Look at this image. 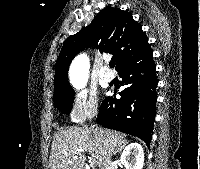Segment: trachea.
Here are the masks:
<instances>
[{
	"mask_svg": "<svg viewBox=\"0 0 200 169\" xmlns=\"http://www.w3.org/2000/svg\"><path fill=\"white\" fill-rule=\"evenodd\" d=\"M109 66H110L111 68H114V67H115V62H114V61H111V62L109 63Z\"/></svg>",
	"mask_w": 200,
	"mask_h": 169,
	"instance_id": "3493384b",
	"label": "trachea"
}]
</instances>
